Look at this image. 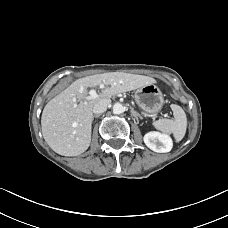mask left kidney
I'll use <instances>...</instances> for the list:
<instances>
[{
	"instance_id": "obj_1",
	"label": "left kidney",
	"mask_w": 228,
	"mask_h": 228,
	"mask_svg": "<svg viewBox=\"0 0 228 228\" xmlns=\"http://www.w3.org/2000/svg\"><path fill=\"white\" fill-rule=\"evenodd\" d=\"M143 139L148 148L158 153L169 152L173 146L171 138L159 132H149L144 135Z\"/></svg>"
}]
</instances>
